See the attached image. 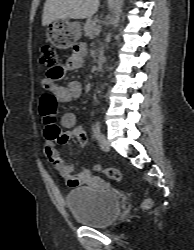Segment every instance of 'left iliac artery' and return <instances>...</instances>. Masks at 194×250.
I'll return each instance as SVG.
<instances>
[{"instance_id": "1", "label": "left iliac artery", "mask_w": 194, "mask_h": 250, "mask_svg": "<svg viewBox=\"0 0 194 250\" xmlns=\"http://www.w3.org/2000/svg\"><path fill=\"white\" fill-rule=\"evenodd\" d=\"M93 134H94L95 139L99 138V136L101 134V123H100V121H97L95 123V126L93 128Z\"/></svg>"}]
</instances>
